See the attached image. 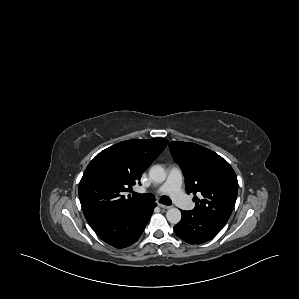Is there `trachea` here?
<instances>
[{
    "label": "trachea",
    "mask_w": 299,
    "mask_h": 299,
    "mask_svg": "<svg viewBox=\"0 0 299 299\" xmlns=\"http://www.w3.org/2000/svg\"><path fill=\"white\" fill-rule=\"evenodd\" d=\"M133 195L143 201V202H153L154 201V197L151 194H139V193H133ZM160 203L164 204V205H171L172 202L170 200V198L168 197H161L159 200Z\"/></svg>",
    "instance_id": "trachea-1"
}]
</instances>
